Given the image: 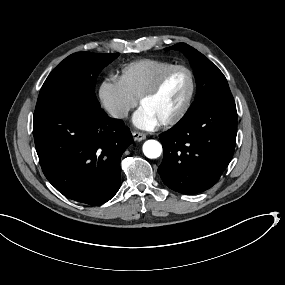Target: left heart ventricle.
<instances>
[{
    "instance_id": "obj_1",
    "label": "left heart ventricle",
    "mask_w": 285,
    "mask_h": 285,
    "mask_svg": "<svg viewBox=\"0 0 285 285\" xmlns=\"http://www.w3.org/2000/svg\"><path fill=\"white\" fill-rule=\"evenodd\" d=\"M189 84L184 74L171 77L163 88L145 101L144 105L160 120L173 115L183 105L187 96Z\"/></svg>"
}]
</instances>
